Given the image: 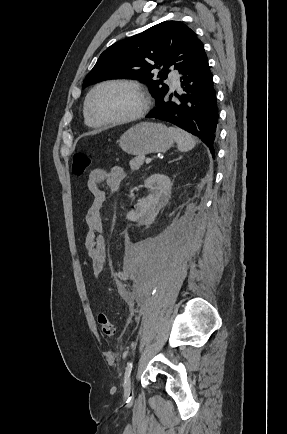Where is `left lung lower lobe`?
<instances>
[{
	"mask_svg": "<svg viewBox=\"0 0 287 434\" xmlns=\"http://www.w3.org/2000/svg\"><path fill=\"white\" fill-rule=\"evenodd\" d=\"M185 91L178 101L164 95L146 117L168 121L200 138L214 156L218 134V107L213 75L206 54L192 60L179 70Z\"/></svg>",
	"mask_w": 287,
	"mask_h": 434,
	"instance_id": "obj_1",
	"label": "left lung lower lobe"
}]
</instances>
